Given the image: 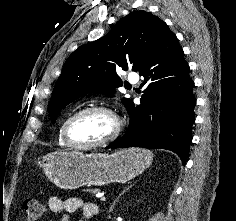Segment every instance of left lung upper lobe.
<instances>
[{
	"label": "left lung upper lobe",
	"mask_w": 236,
	"mask_h": 221,
	"mask_svg": "<svg viewBox=\"0 0 236 221\" xmlns=\"http://www.w3.org/2000/svg\"><path fill=\"white\" fill-rule=\"evenodd\" d=\"M169 28L157 16L135 11L117 22L104 37L80 46L65 62L49 102L52 122L63 107L93 91L114 96L122 86L116 69H140L151 58ZM132 100L124 98L126 108Z\"/></svg>",
	"instance_id": "left-lung-upper-lobe-1"
}]
</instances>
